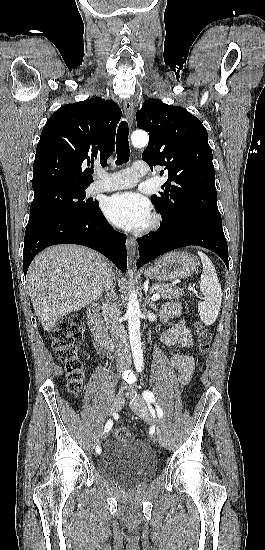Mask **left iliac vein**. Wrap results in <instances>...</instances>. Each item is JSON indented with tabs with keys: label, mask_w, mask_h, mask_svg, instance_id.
Returning <instances> with one entry per match:
<instances>
[{
	"label": "left iliac vein",
	"mask_w": 265,
	"mask_h": 550,
	"mask_svg": "<svg viewBox=\"0 0 265 550\" xmlns=\"http://www.w3.org/2000/svg\"><path fill=\"white\" fill-rule=\"evenodd\" d=\"M130 407H131V409L134 413H136L138 416H140L144 420H146V421L150 420L149 411L147 409V406H146L144 400L141 397H139V396L135 397V399L131 402ZM157 435H158L160 444L162 446H165V442L162 439V436L160 435V433L158 431H157Z\"/></svg>",
	"instance_id": "left-iliac-vein-1"
}]
</instances>
